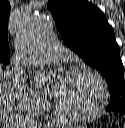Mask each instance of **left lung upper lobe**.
I'll use <instances>...</instances> for the list:
<instances>
[{
  "label": "left lung upper lobe",
  "mask_w": 125,
  "mask_h": 128,
  "mask_svg": "<svg viewBox=\"0 0 125 128\" xmlns=\"http://www.w3.org/2000/svg\"><path fill=\"white\" fill-rule=\"evenodd\" d=\"M47 8L66 45L103 74L110 87L109 110L125 109L124 67L112 26L87 0H53Z\"/></svg>",
  "instance_id": "5c2ea615"
}]
</instances>
